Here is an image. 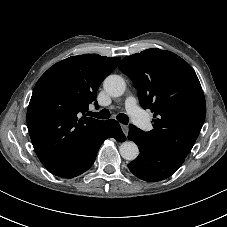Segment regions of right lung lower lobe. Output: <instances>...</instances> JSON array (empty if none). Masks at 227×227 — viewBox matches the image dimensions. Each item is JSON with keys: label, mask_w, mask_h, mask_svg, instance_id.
I'll use <instances>...</instances> for the list:
<instances>
[{"label": "right lung lower lobe", "mask_w": 227, "mask_h": 227, "mask_svg": "<svg viewBox=\"0 0 227 227\" xmlns=\"http://www.w3.org/2000/svg\"><path fill=\"white\" fill-rule=\"evenodd\" d=\"M122 133L119 123L113 119L107 120L95 136L78 151L67 163L51 172L62 178H73L87 171L95 161L98 149L109 137Z\"/></svg>", "instance_id": "98d812e1"}]
</instances>
